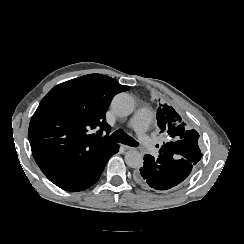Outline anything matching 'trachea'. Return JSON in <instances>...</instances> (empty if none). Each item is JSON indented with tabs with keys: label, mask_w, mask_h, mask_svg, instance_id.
Listing matches in <instances>:
<instances>
[{
	"label": "trachea",
	"mask_w": 244,
	"mask_h": 244,
	"mask_svg": "<svg viewBox=\"0 0 244 244\" xmlns=\"http://www.w3.org/2000/svg\"><path fill=\"white\" fill-rule=\"evenodd\" d=\"M109 139L115 143L127 144L129 146L137 147L139 143L135 141L132 137L126 135L122 130L115 131Z\"/></svg>",
	"instance_id": "obj_1"
}]
</instances>
